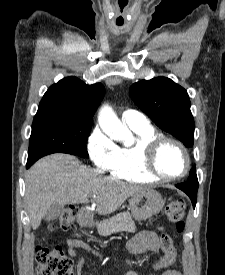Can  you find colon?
<instances>
[{
  "label": "colon",
  "instance_id": "colon-1",
  "mask_svg": "<svg viewBox=\"0 0 225 275\" xmlns=\"http://www.w3.org/2000/svg\"><path fill=\"white\" fill-rule=\"evenodd\" d=\"M165 212L168 220L175 225L177 232H183L185 228L184 201L180 199L170 201L166 206ZM77 215V207L69 206L59 216L56 223L63 230H70L74 226ZM54 226L52 224L49 228L52 229ZM162 248L164 256L159 260L158 267L168 269L174 262L176 255L173 240L169 235L162 236ZM36 261L37 275H73L72 261L64 254L60 247L38 246Z\"/></svg>",
  "mask_w": 225,
  "mask_h": 275
}]
</instances>
